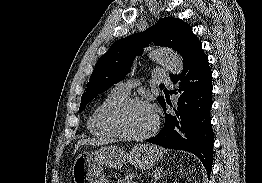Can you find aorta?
<instances>
[{
    "mask_svg": "<svg viewBox=\"0 0 262 183\" xmlns=\"http://www.w3.org/2000/svg\"><path fill=\"white\" fill-rule=\"evenodd\" d=\"M149 57L153 61L162 64L172 74H180L183 70V61L179 54L169 49H152Z\"/></svg>",
    "mask_w": 262,
    "mask_h": 183,
    "instance_id": "1",
    "label": "aorta"
}]
</instances>
